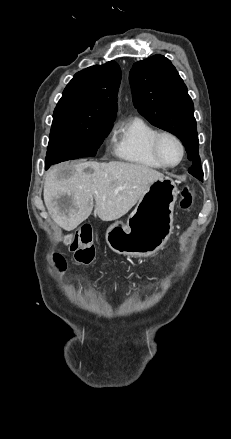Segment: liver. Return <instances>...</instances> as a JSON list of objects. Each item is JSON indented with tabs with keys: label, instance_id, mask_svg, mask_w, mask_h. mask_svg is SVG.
<instances>
[{
	"label": "liver",
	"instance_id": "liver-1",
	"mask_svg": "<svg viewBox=\"0 0 231 439\" xmlns=\"http://www.w3.org/2000/svg\"><path fill=\"white\" fill-rule=\"evenodd\" d=\"M164 175L147 166L111 161L63 163L45 177L44 202L52 219L71 231L91 214L103 221L124 216Z\"/></svg>",
	"mask_w": 231,
	"mask_h": 439
}]
</instances>
